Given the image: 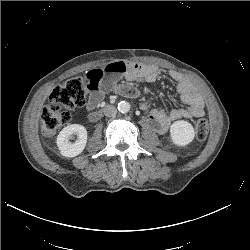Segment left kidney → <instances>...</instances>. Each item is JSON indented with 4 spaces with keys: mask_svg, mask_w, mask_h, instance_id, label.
<instances>
[{
    "mask_svg": "<svg viewBox=\"0 0 250 250\" xmlns=\"http://www.w3.org/2000/svg\"><path fill=\"white\" fill-rule=\"evenodd\" d=\"M170 136L173 144L177 146H186L193 141L195 131L189 122L179 120L175 121L170 126Z\"/></svg>",
    "mask_w": 250,
    "mask_h": 250,
    "instance_id": "left-kidney-1",
    "label": "left kidney"
}]
</instances>
